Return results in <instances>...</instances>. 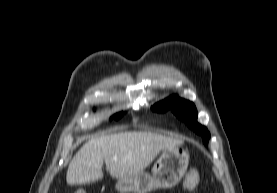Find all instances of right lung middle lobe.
<instances>
[{
    "instance_id": "dd1d6c3e",
    "label": "right lung middle lobe",
    "mask_w": 277,
    "mask_h": 193,
    "mask_svg": "<svg viewBox=\"0 0 277 193\" xmlns=\"http://www.w3.org/2000/svg\"><path fill=\"white\" fill-rule=\"evenodd\" d=\"M124 115V112H121V113H117V114H115L112 118H114V119H119L121 116H123Z\"/></svg>"
}]
</instances>
